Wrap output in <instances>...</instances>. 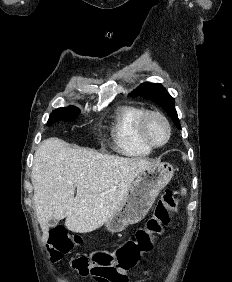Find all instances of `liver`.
I'll return each mask as SVG.
<instances>
[{
  "mask_svg": "<svg viewBox=\"0 0 232 282\" xmlns=\"http://www.w3.org/2000/svg\"><path fill=\"white\" fill-rule=\"evenodd\" d=\"M153 163L74 149L58 138L44 140L34 155L31 174L43 241L49 237L50 219L66 218L67 229L75 233L101 227L120 206L138 174Z\"/></svg>",
  "mask_w": 232,
  "mask_h": 282,
  "instance_id": "obj_1",
  "label": "liver"
}]
</instances>
